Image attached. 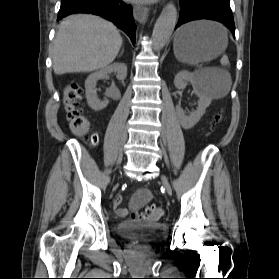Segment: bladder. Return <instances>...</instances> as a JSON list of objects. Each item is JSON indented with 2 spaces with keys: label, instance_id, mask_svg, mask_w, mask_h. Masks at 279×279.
Returning a JSON list of instances; mask_svg holds the SVG:
<instances>
[{
  "label": "bladder",
  "instance_id": "31cf9c89",
  "mask_svg": "<svg viewBox=\"0 0 279 279\" xmlns=\"http://www.w3.org/2000/svg\"><path fill=\"white\" fill-rule=\"evenodd\" d=\"M167 233V226L161 222L127 220L117 225L119 237L144 243L160 242L166 237Z\"/></svg>",
  "mask_w": 279,
  "mask_h": 279
}]
</instances>
